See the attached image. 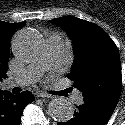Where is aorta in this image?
Here are the masks:
<instances>
[{
    "label": "aorta",
    "instance_id": "aorta-1",
    "mask_svg": "<svg viewBox=\"0 0 125 125\" xmlns=\"http://www.w3.org/2000/svg\"><path fill=\"white\" fill-rule=\"evenodd\" d=\"M41 44L39 35L30 30H21L14 37V48L16 55L24 60H33ZM74 108L64 97L55 98L48 104V114L59 122H66L73 117Z\"/></svg>",
    "mask_w": 125,
    "mask_h": 125
}]
</instances>
